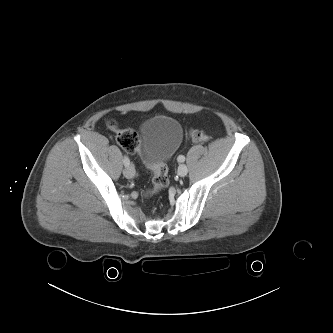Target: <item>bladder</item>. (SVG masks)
<instances>
[{
    "instance_id": "bladder-1",
    "label": "bladder",
    "mask_w": 333,
    "mask_h": 333,
    "mask_svg": "<svg viewBox=\"0 0 333 333\" xmlns=\"http://www.w3.org/2000/svg\"><path fill=\"white\" fill-rule=\"evenodd\" d=\"M183 139V128L175 118L159 115L141 126V155L146 165L165 162L178 149Z\"/></svg>"
}]
</instances>
